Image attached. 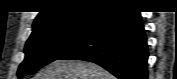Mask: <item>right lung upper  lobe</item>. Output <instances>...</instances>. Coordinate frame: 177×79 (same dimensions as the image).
<instances>
[{"mask_svg": "<svg viewBox=\"0 0 177 79\" xmlns=\"http://www.w3.org/2000/svg\"><path fill=\"white\" fill-rule=\"evenodd\" d=\"M35 18L33 29L42 25L84 17L94 13H105L107 10L127 6L125 0H55Z\"/></svg>", "mask_w": 177, "mask_h": 79, "instance_id": "obj_1", "label": "right lung upper lobe"}]
</instances>
